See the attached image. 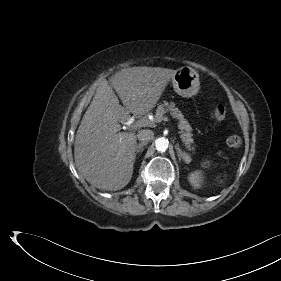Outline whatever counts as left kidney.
<instances>
[{"label":"left kidney","instance_id":"left-kidney-1","mask_svg":"<svg viewBox=\"0 0 281 281\" xmlns=\"http://www.w3.org/2000/svg\"><path fill=\"white\" fill-rule=\"evenodd\" d=\"M189 182L194 188H199L202 181V173L200 171H195L189 175Z\"/></svg>","mask_w":281,"mask_h":281}]
</instances>
